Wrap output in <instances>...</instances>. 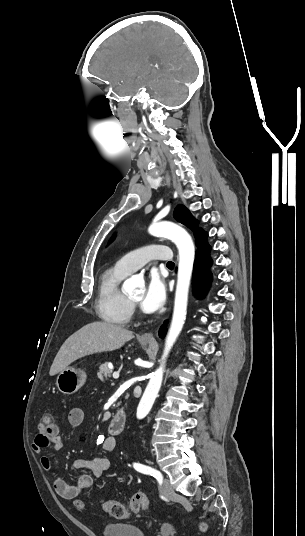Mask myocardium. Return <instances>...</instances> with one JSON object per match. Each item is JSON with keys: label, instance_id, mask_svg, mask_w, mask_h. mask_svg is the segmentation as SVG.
<instances>
[{"label": "myocardium", "instance_id": "myocardium-1", "mask_svg": "<svg viewBox=\"0 0 305 536\" xmlns=\"http://www.w3.org/2000/svg\"><path fill=\"white\" fill-rule=\"evenodd\" d=\"M128 301H129V303H130V305H131L132 307L136 308V307L138 306V302H135V301H133V300L130 299V298H128Z\"/></svg>", "mask_w": 305, "mask_h": 536}]
</instances>
